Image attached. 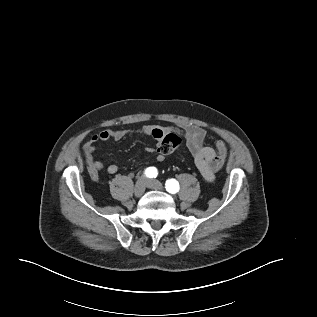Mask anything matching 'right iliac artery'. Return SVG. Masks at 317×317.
I'll list each match as a JSON object with an SVG mask.
<instances>
[{"label":"right iliac artery","instance_id":"1","mask_svg":"<svg viewBox=\"0 0 317 317\" xmlns=\"http://www.w3.org/2000/svg\"><path fill=\"white\" fill-rule=\"evenodd\" d=\"M149 178H156L158 175V171L155 167H148L144 173Z\"/></svg>","mask_w":317,"mask_h":317}]
</instances>
